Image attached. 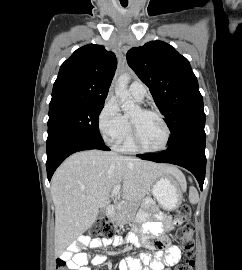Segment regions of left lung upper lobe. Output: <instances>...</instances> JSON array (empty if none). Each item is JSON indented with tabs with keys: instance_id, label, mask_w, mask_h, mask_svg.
I'll return each mask as SVG.
<instances>
[{
	"instance_id": "1",
	"label": "left lung upper lobe",
	"mask_w": 242,
	"mask_h": 270,
	"mask_svg": "<svg viewBox=\"0 0 242 270\" xmlns=\"http://www.w3.org/2000/svg\"><path fill=\"white\" fill-rule=\"evenodd\" d=\"M127 61L144 82L166 118L169 145L204 132L205 113L197 78L189 61L171 45L151 41L128 51Z\"/></svg>"
}]
</instances>
